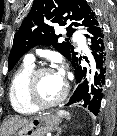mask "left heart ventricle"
Listing matches in <instances>:
<instances>
[{"mask_svg":"<svg viewBox=\"0 0 117 136\" xmlns=\"http://www.w3.org/2000/svg\"><path fill=\"white\" fill-rule=\"evenodd\" d=\"M64 89V80L57 72H45L37 81V97L41 102L57 99Z\"/></svg>","mask_w":117,"mask_h":136,"instance_id":"b2bd125f","label":"left heart ventricle"}]
</instances>
